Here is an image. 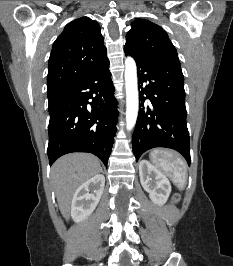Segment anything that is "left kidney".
<instances>
[{"label": "left kidney", "instance_id": "5707ae66", "mask_svg": "<svg viewBox=\"0 0 233 266\" xmlns=\"http://www.w3.org/2000/svg\"><path fill=\"white\" fill-rule=\"evenodd\" d=\"M139 175L141 185L149 193L150 199L157 205L166 203L171 193L168 178L147 160L139 163Z\"/></svg>", "mask_w": 233, "mask_h": 266}]
</instances>
